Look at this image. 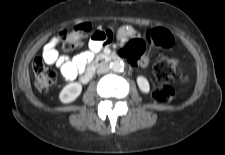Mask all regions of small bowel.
<instances>
[{
  "mask_svg": "<svg viewBox=\"0 0 225 155\" xmlns=\"http://www.w3.org/2000/svg\"><path fill=\"white\" fill-rule=\"evenodd\" d=\"M130 32L129 29H122L121 36L126 37ZM109 38V33L95 32L89 40V50L73 58L61 55L57 50L58 41L53 38L44 46L42 57L46 63L59 67L66 80H73L79 72L84 70L85 65L93 58L94 53L98 52ZM148 62V57L143 55L139 65L146 66Z\"/></svg>",
  "mask_w": 225,
  "mask_h": 155,
  "instance_id": "small-bowel-1",
  "label": "small bowel"
}]
</instances>
